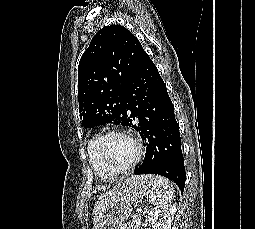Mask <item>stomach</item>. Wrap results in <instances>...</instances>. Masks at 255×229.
I'll use <instances>...</instances> for the list:
<instances>
[{"mask_svg":"<svg viewBox=\"0 0 255 229\" xmlns=\"http://www.w3.org/2000/svg\"><path fill=\"white\" fill-rule=\"evenodd\" d=\"M156 186L152 175H134L126 178L120 184L116 195L94 214L93 229H117L129 218L134 203L149 196Z\"/></svg>","mask_w":255,"mask_h":229,"instance_id":"0dacf381","label":"stomach"}]
</instances>
